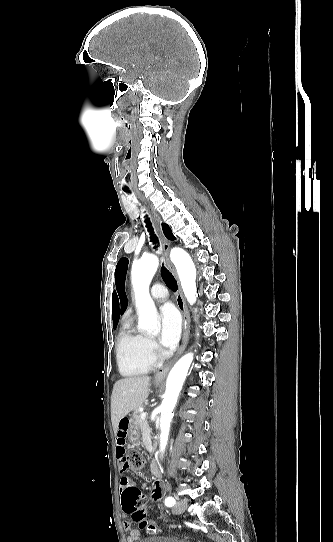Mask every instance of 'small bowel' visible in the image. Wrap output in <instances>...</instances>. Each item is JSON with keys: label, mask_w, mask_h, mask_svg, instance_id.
Masks as SVG:
<instances>
[{"label": "small bowel", "mask_w": 333, "mask_h": 542, "mask_svg": "<svg viewBox=\"0 0 333 542\" xmlns=\"http://www.w3.org/2000/svg\"><path fill=\"white\" fill-rule=\"evenodd\" d=\"M129 432V421L127 418H122L118 423L117 428V435H116V450H117V457L118 462L120 465V471L123 472L125 468L127 467V461H126V440L127 435ZM132 488V484L130 480L122 476L120 478L119 482V491L121 495V500L123 497H130V490ZM165 494V483L158 477L154 478L151 483V499L153 501H160L162 497ZM127 512L126 508L123 509ZM121 518L123 520H126L128 518V515L126 513H123L121 515ZM123 528L128 533L127 542H142L140 532L132 527L131 522L124 521L123 522Z\"/></svg>", "instance_id": "small-bowel-1"}]
</instances>
